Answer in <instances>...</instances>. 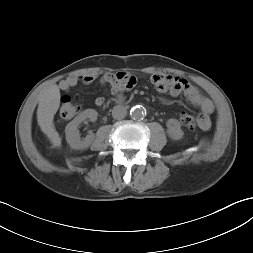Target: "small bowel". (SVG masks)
Instances as JSON below:
<instances>
[{"label": "small bowel", "mask_w": 253, "mask_h": 253, "mask_svg": "<svg viewBox=\"0 0 253 253\" xmlns=\"http://www.w3.org/2000/svg\"><path fill=\"white\" fill-rule=\"evenodd\" d=\"M98 79L102 84L109 85L114 94L130 89L136 83V78L127 72H118L116 74L105 73L101 77L97 74L90 73L81 76H70L62 80L59 86L61 90L68 91L79 83L89 85ZM151 83L157 91L169 93L173 97L183 94L190 103L199 107L201 110L198 117L199 127L202 130H208L210 128L211 122L209 115L214 111L213 103L210 99L203 96L196 87L189 84L187 80L180 77L156 74L151 77ZM95 104L97 106H103L105 104V98L97 97Z\"/></svg>", "instance_id": "1"}]
</instances>
